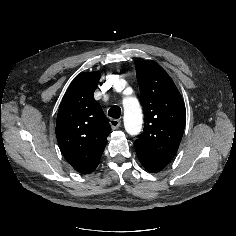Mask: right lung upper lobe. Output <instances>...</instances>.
Segmentation results:
<instances>
[{
    "instance_id": "1",
    "label": "right lung upper lobe",
    "mask_w": 236,
    "mask_h": 236,
    "mask_svg": "<svg viewBox=\"0 0 236 236\" xmlns=\"http://www.w3.org/2000/svg\"><path fill=\"white\" fill-rule=\"evenodd\" d=\"M100 72H85L68 87L60 105L56 137L67 162L89 174L99 164L111 126L93 94Z\"/></svg>"
}]
</instances>
